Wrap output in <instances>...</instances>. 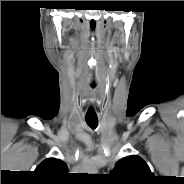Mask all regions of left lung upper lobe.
Masks as SVG:
<instances>
[{
  "label": "left lung upper lobe",
  "mask_w": 184,
  "mask_h": 184,
  "mask_svg": "<svg viewBox=\"0 0 184 184\" xmlns=\"http://www.w3.org/2000/svg\"><path fill=\"white\" fill-rule=\"evenodd\" d=\"M110 175L116 184H149L154 176L145 161L136 155L119 160Z\"/></svg>",
  "instance_id": "1"
}]
</instances>
